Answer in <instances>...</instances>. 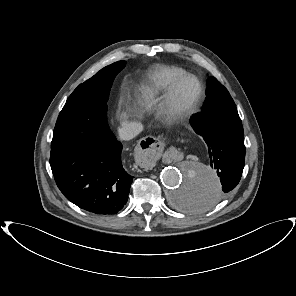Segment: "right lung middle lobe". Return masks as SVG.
Returning a JSON list of instances; mask_svg holds the SVG:
<instances>
[{
    "instance_id": "dd1d6c3e",
    "label": "right lung middle lobe",
    "mask_w": 296,
    "mask_h": 296,
    "mask_svg": "<svg viewBox=\"0 0 296 296\" xmlns=\"http://www.w3.org/2000/svg\"><path fill=\"white\" fill-rule=\"evenodd\" d=\"M125 61L104 67L80 84L60 112L51 142V150L75 148L80 144L107 135V101L115 76Z\"/></svg>"
}]
</instances>
